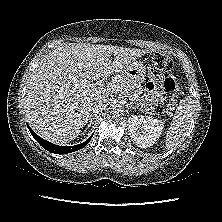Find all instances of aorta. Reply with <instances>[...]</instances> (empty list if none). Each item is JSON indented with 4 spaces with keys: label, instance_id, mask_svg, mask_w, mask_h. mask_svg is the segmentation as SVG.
Wrapping results in <instances>:
<instances>
[{
    "label": "aorta",
    "instance_id": "aorta-1",
    "mask_svg": "<svg viewBox=\"0 0 222 222\" xmlns=\"http://www.w3.org/2000/svg\"><path fill=\"white\" fill-rule=\"evenodd\" d=\"M112 114L115 116H119L124 112V106L121 104H115L112 106Z\"/></svg>",
    "mask_w": 222,
    "mask_h": 222
}]
</instances>
